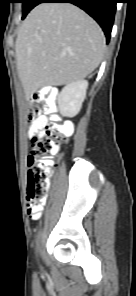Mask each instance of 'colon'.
Listing matches in <instances>:
<instances>
[{
    "label": "colon",
    "mask_w": 136,
    "mask_h": 296,
    "mask_svg": "<svg viewBox=\"0 0 136 296\" xmlns=\"http://www.w3.org/2000/svg\"><path fill=\"white\" fill-rule=\"evenodd\" d=\"M31 122L42 121L41 132L31 138V151L27 158L28 179L26 203L28 214L38 217L46 200L49 177L56 154L63 141L72 134L71 123H61L55 113L54 100L36 101L28 109Z\"/></svg>",
    "instance_id": "colon-1"
}]
</instances>
